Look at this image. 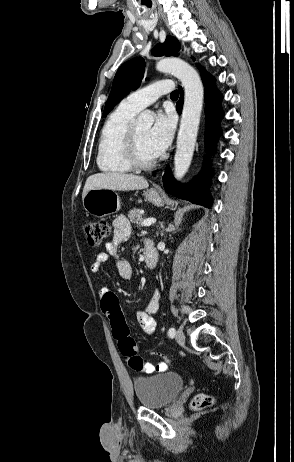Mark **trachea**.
Listing matches in <instances>:
<instances>
[{"label":"trachea","instance_id":"trachea-1","mask_svg":"<svg viewBox=\"0 0 294 462\" xmlns=\"http://www.w3.org/2000/svg\"><path fill=\"white\" fill-rule=\"evenodd\" d=\"M172 98H178L179 96V91L178 90H174L171 95H170Z\"/></svg>","mask_w":294,"mask_h":462}]
</instances>
